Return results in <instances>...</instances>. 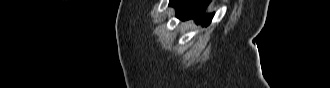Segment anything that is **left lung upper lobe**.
<instances>
[{
    "label": "left lung upper lobe",
    "mask_w": 330,
    "mask_h": 88,
    "mask_svg": "<svg viewBox=\"0 0 330 88\" xmlns=\"http://www.w3.org/2000/svg\"><path fill=\"white\" fill-rule=\"evenodd\" d=\"M200 6H201V3L198 4V7H200Z\"/></svg>",
    "instance_id": "obj_1"
}]
</instances>
